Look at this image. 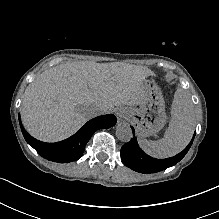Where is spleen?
Wrapping results in <instances>:
<instances>
[{
	"instance_id": "obj_1",
	"label": "spleen",
	"mask_w": 219,
	"mask_h": 219,
	"mask_svg": "<svg viewBox=\"0 0 219 219\" xmlns=\"http://www.w3.org/2000/svg\"><path fill=\"white\" fill-rule=\"evenodd\" d=\"M172 119L164 137L158 141L138 140L139 147L155 159L176 156L190 143L195 131V112L190 93L179 88L174 94Z\"/></svg>"
}]
</instances>
